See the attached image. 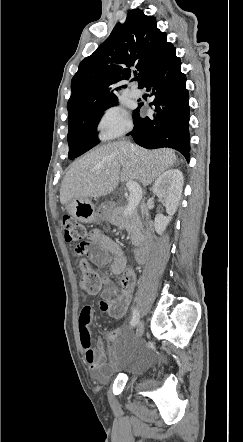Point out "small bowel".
<instances>
[{"mask_svg":"<svg viewBox=\"0 0 243 442\" xmlns=\"http://www.w3.org/2000/svg\"><path fill=\"white\" fill-rule=\"evenodd\" d=\"M88 237L93 244V247L87 250L89 258L97 265L107 266L112 274L120 277L118 286H111L110 280L103 278L105 287L100 292L101 300L98 302V307L106 316L120 319L127 312L136 274L127 266L126 256L117 242L99 229L91 230ZM93 312L92 304H84L79 311L78 327L84 359L94 378L102 380L111 374L121 357V328L111 331L107 336L111 343L110 360H108L103 341L100 339L94 341L92 338L90 325Z\"/></svg>","mask_w":243,"mask_h":442,"instance_id":"small-bowel-1","label":"small bowel"}]
</instances>
